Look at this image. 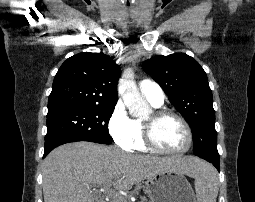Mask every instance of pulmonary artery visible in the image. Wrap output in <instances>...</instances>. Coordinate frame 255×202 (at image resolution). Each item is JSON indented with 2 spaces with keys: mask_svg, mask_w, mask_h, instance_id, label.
I'll list each match as a JSON object with an SVG mask.
<instances>
[{
  "mask_svg": "<svg viewBox=\"0 0 255 202\" xmlns=\"http://www.w3.org/2000/svg\"><path fill=\"white\" fill-rule=\"evenodd\" d=\"M141 94L153 105L160 106L164 102V93L161 87L154 81L144 79L139 83Z\"/></svg>",
  "mask_w": 255,
  "mask_h": 202,
  "instance_id": "1",
  "label": "pulmonary artery"
}]
</instances>
